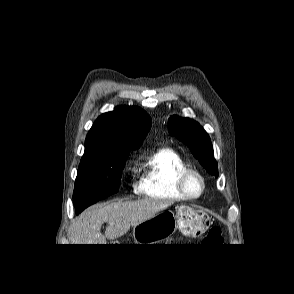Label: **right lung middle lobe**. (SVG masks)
Here are the masks:
<instances>
[{
	"instance_id": "obj_1",
	"label": "right lung middle lobe",
	"mask_w": 294,
	"mask_h": 294,
	"mask_svg": "<svg viewBox=\"0 0 294 294\" xmlns=\"http://www.w3.org/2000/svg\"><path fill=\"white\" fill-rule=\"evenodd\" d=\"M130 151L107 150L84 153L75 181L73 201L76 210H84L91 204L119 190L122 170Z\"/></svg>"
}]
</instances>
